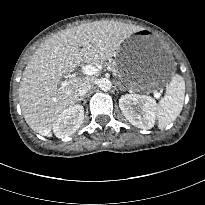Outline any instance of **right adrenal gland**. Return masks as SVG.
Returning <instances> with one entry per match:
<instances>
[{
	"label": "right adrenal gland",
	"instance_id": "right-adrenal-gland-1",
	"mask_svg": "<svg viewBox=\"0 0 205 205\" xmlns=\"http://www.w3.org/2000/svg\"><path fill=\"white\" fill-rule=\"evenodd\" d=\"M81 100H83V97H80V98L78 99L79 102H80Z\"/></svg>",
	"mask_w": 205,
	"mask_h": 205
}]
</instances>
